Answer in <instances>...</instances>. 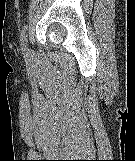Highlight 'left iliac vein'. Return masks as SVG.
Segmentation results:
<instances>
[{
	"instance_id": "1",
	"label": "left iliac vein",
	"mask_w": 135,
	"mask_h": 161,
	"mask_svg": "<svg viewBox=\"0 0 135 161\" xmlns=\"http://www.w3.org/2000/svg\"><path fill=\"white\" fill-rule=\"evenodd\" d=\"M24 54H25L26 56H29V54H30V49H29V47H28L27 44H26L25 49H24Z\"/></svg>"
}]
</instances>
